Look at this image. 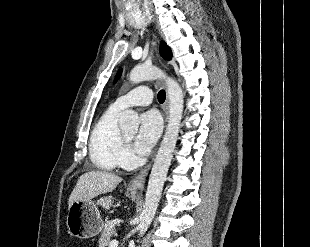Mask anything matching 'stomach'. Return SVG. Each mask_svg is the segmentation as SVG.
Listing matches in <instances>:
<instances>
[{
  "mask_svg": "<svg viewBox=\"0 0 310 247\" xmlns=\"http://www.w3.org/2000/svg\"><path fill=\"white\" fill-rule=\"evenodd\" d=\"M126 195L135 200L137 195L134 191L127 190ZM98 205L104 209H110L111 197H101L97 202L77 200L68 208L66 224L68 232L77 238L88 239L99 234L104 226L98 209Z\"/></svg>",
  "mask_w": 310,
  "mask_h": 247,
  "instance_id": "0dacf381",
  "label": "stomach"
}]
</instances>
